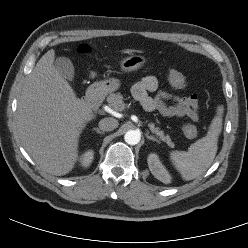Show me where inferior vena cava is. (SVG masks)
Here are the masks:
<instances>
[{
  "mask_svg": "<svg viewBox=\"0 0 248 248\" xmlns=\"http://www.w3.org/2000/svg\"><path fill=\"white\" fill-rule=\"evenodd\" d=\"M118 120L108 117V118H103L99 122V128L102 131H112L115 128L118 127Z\"/></svg>",
  "mask_w": 248,
  "mask_h": 248,
  "instance_id": "inferior-vena-cava-1",
  "label": "inferior vena cava"
}]
</instances>
